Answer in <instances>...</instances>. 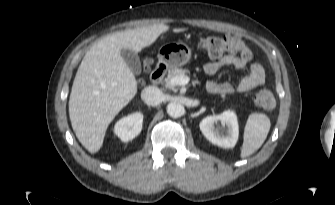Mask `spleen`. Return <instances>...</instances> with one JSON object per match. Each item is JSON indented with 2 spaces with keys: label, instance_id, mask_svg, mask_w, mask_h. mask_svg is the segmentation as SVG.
I'll return each mask as SVG.
<instances>
[{
  "label": "spleen",
  "instance_id": "obj_1",
  "mask_svg": "<svg viewBox=\"0 0 335 205\" xmlns=\"http://www.w3.org/2000/svg\"><path fill=\"white\" fill-rule=\"evenodd\" d=\"M270 127V119L265 114L252 113L249 115L244 129L241 158L250 156L262 146Z\"/></svg>",
  "mask_w": 335,
  "mask_h": 205
}]
</instances>
